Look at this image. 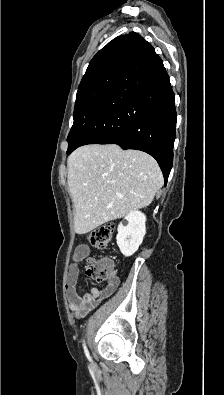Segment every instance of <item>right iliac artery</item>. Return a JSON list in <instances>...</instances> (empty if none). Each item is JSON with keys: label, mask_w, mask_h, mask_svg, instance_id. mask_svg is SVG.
<instances>
[{"label": "right iliac artery", "mask_w": 224, "mask_h": 395, "mask_svg": "<svg viewBox=\"0 0 224 395\" xmlns=\"http://www.w3.org/2000/svg\"><path fill=\"white\" fill-rule=\"evenodd\" d=\"M83 347H84V350H85L86 354L88 355V350H87V348H86V345H85L84 340H83Z\"/></svg>", "instance_id": "obj_1"}]
</instances>
